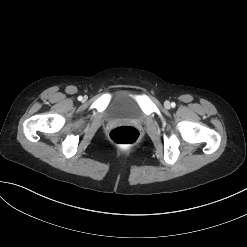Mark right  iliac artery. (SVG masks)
<instances>
[{"instance_id": "82829eb1", "label": "right iliac artery", "mask_w": 247, "mask_h": 247, "mask_svg": "<svg viewBox=\"0 0 247 247\" xmlns=\"http://www.w3.org/2000/svg\"><path fill=\"white\" fill-rule=\"evenodd\" d=\"M78 100L81 101V100H82V96H79V97H78Z\"/></svg>"}]
</instances>
